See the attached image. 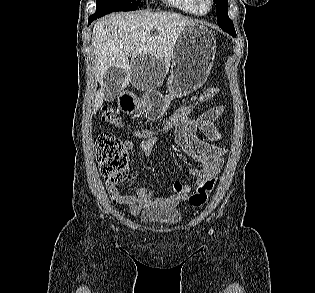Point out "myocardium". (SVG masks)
<instances>
[{
    "label": "myocardium",
    "instance_id": "myocardium-1",
    "mask_svg": "<svg viewBox=\"0 0 315 293\" xmlns=\"http://www.w3.org/2000/svg\"><path fill=\"white\" fill-rule=\"evenodd\" d=\"M207 2H208V8L204 9L202 7V0H194L195 8L200 15H205L212 11L214 7V0H207Z\"/></svg>",
    "mask_w": 315,
    "mask_h": 293
}]
</instances>
